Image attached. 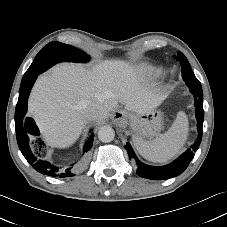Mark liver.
I'll use <instances>...</instances> for the list:
<instances>
[{"label":"liver","instance_id":"1","mask_svg":"<svg viewBox=\"0 0 227 227\" xmlns=\"http://www.w3.org/2000/svg\"><path fill=\"white\" fill-rule=\"evenodd\" d=\"M165 98L148 84L138 68L125 61L105 60L91 68L63 63L37 79L28 108L45 141L51 146L67 147L90 119L108 118L118 103L144 114L160 106ZM84 102L99 105L94 118L84 113Z\"/></svg>","mask_w":227,"mask_h":227}]
</instances>
